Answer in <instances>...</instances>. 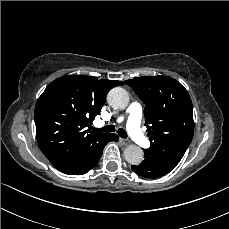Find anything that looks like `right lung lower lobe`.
Listing matches in <instances>:
<instances>
[{
    "instance_id": "right-lung-lower-lobe-1",
    "label": "right lung lower lobe",
    "mask_w": 229,
    "mask_h": 229,
    "mask_svg": "<svg viewBox=\"0 0 229 229\" xmlns=\"http://www.w3.org/2000/svg\"><path fill=\"white\" fill-rule=\"evenodd\" d=\"M119 137L114 134H104L100 140L84 154L73 166L63 171L68 175H81L91 170L99 161L104 146L110 141H118Z\"/></svg>"
}]
</instances>
